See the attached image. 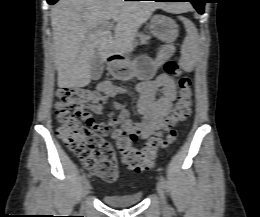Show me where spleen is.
<instances>
[{
	"instance_id": "3e777b00",
	"label": "spleen",
	"mask_w": 260,
	"mask_h": 217,
	"mask_svg": "<svg viewBox=\"0 0 260 217\" xmlns=\"http://www.w3.org/2000/svg\"><path fill=\"white\" fill-rule=\"evenodd\" d=\"M179 19L183 22L187 32V36L185 37L181 46V54L184 60H189L196 52L198 45V31L195 25L189 19L184 17H179Z\"/></svg>"
}]
</instances>
